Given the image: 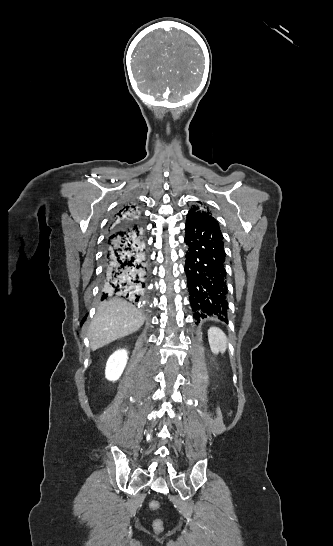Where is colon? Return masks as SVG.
Here are the masks:
<instances>
[{
  "label": "colon",
  "instance_id": "obj_1",
  "mask_svg": "<svg viewBox=\"0 0 333 546\" xmlns=\"http://www.w3.org/2000/svg\"><path fill=\"white\" fill-rule=\"evenodd\" d=\"M149 508H150L152 511H157V510L160 509V503H159L158 501H152V502H150V504H149ZM153 529H154L156 532H162L163 529H164V525H163L162 520H160V519L154 520V522H153Z\"/></svg>",
  "mask_w": 333,
  "mask_h": 546
}]
</instances>
